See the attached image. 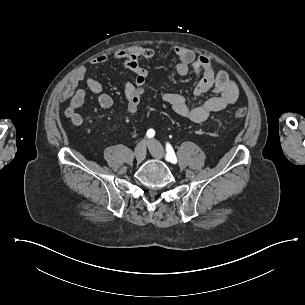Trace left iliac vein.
I'll use <instances>...</instances> for the list:
<instances>
[{"label":"left iliac vein","instance_id":"4c4485c4","mask_svg":"<svg viewBox=\"0 0 305 305\" xmlns=\"http://www.w3.org/2000/svg\"><path fill=\"white\" fill-rule=\"evenodd\" d=\"M148 148L152 156L156 159H162L164 156V149L155 139L148 141Z\"/></svg>","mask_w":305,"mask_h":305}]
</instances>
